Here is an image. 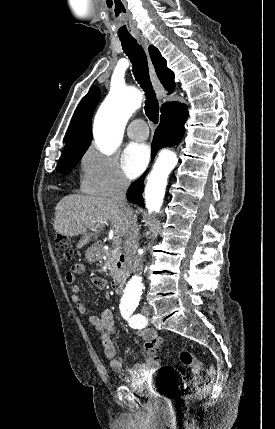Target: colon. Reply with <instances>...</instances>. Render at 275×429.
<instances>
[{
  "instance_id": "obj_1",
  "label": "colon",
  "mask_w": 275,
  "mask_h": 429,
  "mask_svg": "<svg viewBox=\"0 0 275 429\" xmlns=\"http://www.w3.org/2000/svg\"><path fill=\"white\" fill-rule=\"evenodd\" d=\"M55 252L58 258L66 261L70 260L73 255V249L69 239L65 236L57 235L55 238ZM161 342L162 340L160 338L147 343L145 346L146 351L151 354L155 353ZM180 360L192 373L191 378L183 379L179 384V389L184 393L181 397V403L189 404L202 398L208 391L213 380V370H208L207 377L205 381L202 382L200 376L202 372V363L186 350L181 351Z\"/></svg>"
}]
</instances>
